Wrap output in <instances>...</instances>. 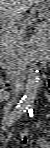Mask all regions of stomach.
I'll use <instances>...</instances> for the list:
<instances>
[{
  "label": "stomach",
  "mask_w": 50,
  "mask_h": 148,
  "mask_svg": "<svg viewBox=\"0 0 50 148\" xmlns=\"http://www.w3.org/2000/svg\"><path fill=\"white\" fill-rule=\"evenodd\" d=\"M44 2V5L46 6V9L48 10L50 8V1L47 0V1H43Z\"/></svg>",
  "instance_id": "1"
}]
</instances>
